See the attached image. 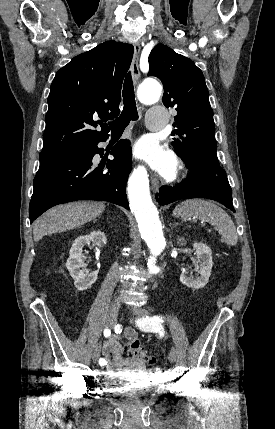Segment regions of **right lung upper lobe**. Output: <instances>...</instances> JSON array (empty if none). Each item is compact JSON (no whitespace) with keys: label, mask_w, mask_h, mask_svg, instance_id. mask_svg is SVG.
<instances>
[{"label":"right lung upper lobe","mask_w":275,"mask_h":429,"mask_svg":"<svg viewBox=\"0 0 275 429\" xmlns=\"http://www.w3.org/2000/svg\"><path fill=\"white\" fill-rule=\"evenodd\" d=\"M134 48L107 41L74 57L55 75L48 97L40 159H50L109 136L107 125L120 113L121 86ZM99 118L100 120L95 121ZM100 124L102 130L94 128Z\"/></svg>","instance_id":"right-lung-upper-lobe-1"}]
</instances>
